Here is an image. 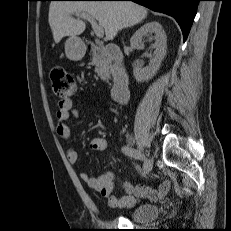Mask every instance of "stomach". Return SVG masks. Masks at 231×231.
<instances>
[{
  "label": "stomach",
  "mask_w": 231,
  "mask_h": 231,
  "mask_svg": "<svg viewBox=\"0 0 231 231\" xmlns=\"http://www.w3.org/2000/svg\"><path fill=\"white\" fill-rule=\"evenodd\" d=\"M86 52L84 42L77 36H70L65 42L66 57L72 61H80Z\"/></svg>",
  "instance_id": "0dacf381"
}]
</instances>
